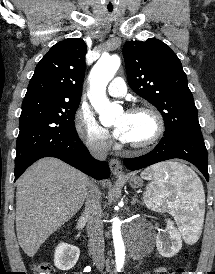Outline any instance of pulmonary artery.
Wrapping results in <instances>:
<instances>
[{
    "label": "pulmonary artery",
    "mask_w": 215,
    "mask_h": 274,
    "mask_svg": "<svg viewBox=\"0 0 215 274\" xmlns=\"http://www.w3.org/2000/svg\"><path fill=\"white\" fill-rule=\"evenodd\" d=\"M108 93L113 97H122L126 94L127 88L125 81L121 77L114 78L107 89Z\"/></svg>",
    "instance_id": "1"
}]
</instances>
